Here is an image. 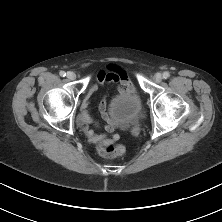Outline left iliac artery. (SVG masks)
<instances>
[{"label": "left iliac artery", "instance_id": "1", "mask_svg": "<svg viewBox=\"0 0 222 222\" xmlns=\"http://www.w3.org/2000/svg\"><path fill=\"white\" fill-rule=\"evenodd\" d=\"M169 76H170L169 72L166 71V72L163 73V78L164 79L169 78Z\"/></svg>", "mask_w": 222, "mask_h": 222}]
</instances>
